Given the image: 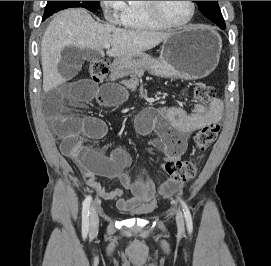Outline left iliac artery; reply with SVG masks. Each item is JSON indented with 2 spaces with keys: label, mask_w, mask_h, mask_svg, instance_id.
<instances>
[{
  "label": "left iliac artery",
  "mask_w": 271,
  "mask_h": 266,
  "mask_svg": "<svg viewBox=\"0 0 271 266\" xmlns=\"http://www.w3.org/2000/svg\"><path fill=\"white\" fill-rule=\"evenodd\" d=\"M180 203L183 207L187 228H188L189 232H191L193 230V221H192L190 210H189L187 204L183 200L180 199Z\"/></svg>",
  "instance_id": "44dca946"
}]
</instances>
